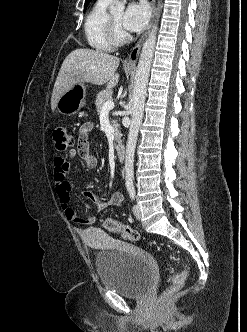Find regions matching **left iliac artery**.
Listing matches in <instances>:
<instances>
[{
	"instance_id": "obj_1",
	"label": "left iliac artery",
	"mask_w": 247,
	"mask_h": 332,
	"mask_svg": "<svg viewBox=\"0 0 247 332\" xmlns=\"http://www.w3.org/2000/svg\"><path fill=\"white\" fill-rule=\"evenodd\" d=\"M129 195H130V198H131L132 200H134V198H135V190H134V189H130V190H129Z\"/></svg>"
}]
</instances>
